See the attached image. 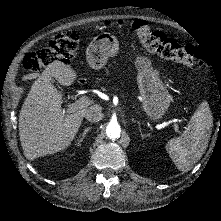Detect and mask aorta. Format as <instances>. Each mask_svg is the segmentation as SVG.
Listing matches in <instances>:
<instances>
[{
    "instance_id": "1",
    "label": "aorta",
    "mask_w": 221,
    "mask_h": 221,
    "mask_svg": "<svg viewBox=\"0 0 221 221\" xmlns=\"http://www.w3.org/2000/svg\"><path fill=\"white\" fill-rule=\"evenodd\" d=\"M106 134L111 140H115L120 137L121 128L117 122H110L106 127Z\"/></svg>"
}]
</instances>
